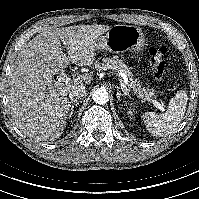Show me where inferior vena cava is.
Segmentation results:
<instances>
[{"mask_svg":"<svg viewBox=\"0 0 199 199\" xmlns=\"http://www.w3.org/2000/svg\"><path fill=\"white\" fill-rule=\"evenodd\" d=\"M86 96V87L83 84L76 85L72 87V89L69 91V98L77 102L78 100H83Z\"/></svg>","mask_w":199,"mask_h":199,"instance_id":"inferior-vena-cava-1","label":"inferior vena cava"}]
</instances>
